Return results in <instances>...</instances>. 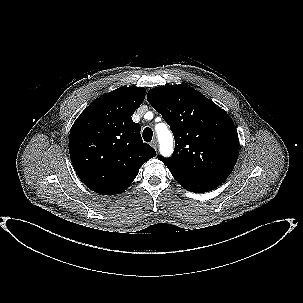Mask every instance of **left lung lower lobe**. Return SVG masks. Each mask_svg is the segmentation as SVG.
I'll list each match as a JSON object with an SVG mask.
<instances>
[{
	"mask_svg": "<svg viewBox=\"0 0 303 303\" xmlns=\"http://www.w3.org/2000/svg\"><path fill=\"white\" fill-rule=\"evenodd\" d=\"M172 175L186 190L197 193H204L215 189L228 177L223 175L187 177L174 173Z\"/></svg>",
	"mask_w": 303,
	"mask_h": 303,
	"instance_id": "1",
	"label": "left lung lower lobe"
}]
</instances>
